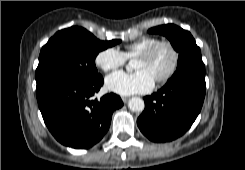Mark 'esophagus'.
<instances>
[{
    "label": "esophagus",
    "mask_w": 245,
    "mask_h": 170,
    "mask_svg": "<svg viewBox=\"0 0 245 170\" xmlns=\"http://www.w3.org/2000/svg\"><path fill=\"white\" fill-rule=\"evenodd\" d=\"M129 99H130V97H126V96L122 97V101L124 103H127Z\"/></svg>",
    "instance_id": "esophagus-1"
}]
</instances>
